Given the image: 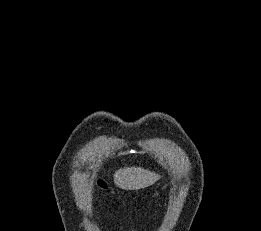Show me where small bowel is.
<instances>
[{
    "instance_id": "obj_1",
    "label": "small bowel",
    "mask_w": 261,
    "mask_h": 231,
    "mask_svg": "<svg viewBox=\"0 0 261 231\" xmlns=\"http://www.w3.org/2000/svg\"><path fill=\"white\" fill-rule=\"evenodd\" d=\"M127 224H128L130 229H133V222H132V219L130 217L127 218Z\"/></svg>"
}]
</instances>
